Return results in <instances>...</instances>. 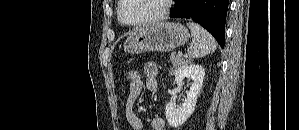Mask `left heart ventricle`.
<instances>
[{
	"label": "left heart ventricle",
	"mask_w": 299,
	"mask_h": 130,
	"mask_svg": "<svg viewBox=\"0 0 299 130\" xmlns=\"http://www.w3.org/2000/svg\"><path fill=\"white\" fill-rule=\"evenodd\" d=\"M163 5V0H127L122 9V17L127 23L140 22L160 13Z\"/></svg>",
	"instance_id": "b2bd125f"
}]
</instances>
